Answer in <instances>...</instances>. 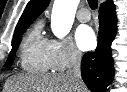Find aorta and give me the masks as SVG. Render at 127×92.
I'll return each mask as SVG.
<instances>
[{
    "instance_id": "aorta-1",
    "label": "aorta",
    "mask_w": 127,
    "mask_h": 92,
    "mask_svg": "<svg viewBox=\"0 0 127 92\" xmlns=\"http://www.w3.org/2000/svg\"><path fill=\"white\" fill-rule=\"evenodd\" d=\"M79 0H55L52 16L51 29L58 38L65 37L71 30Z\"/></svg>"
}]
</instances>
